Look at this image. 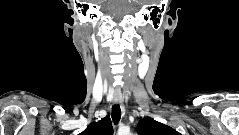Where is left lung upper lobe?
<instances>
[{
    "label": "left lung upper lobe",
    "mask_w": 239,
    "mask_h": 135,
    "mask_svg": "<svg viewBox=\"0 0 239 135\" xmlns=\"http://www.w3.org/2000/svg\"><path fill=\"white\" fill-rule=\"evenodd\" d=\"M139 135H181L175 129L155 121L152 118H144L137 125Z\"/></svg>",
    "instance_id": "left-lung-upper-lobe-1"
}]
</instances>
